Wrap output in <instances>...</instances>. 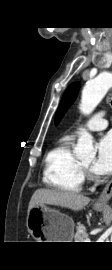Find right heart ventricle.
<instances>
[{"label":"right heart ventricle","instance_id":"1","mask_svg":"<svg viewBox=\"0 0 112 270\" xmlns=\"http://www.w3.org/2000/svg\"><path fill=\"white\" fill-rule=\"evenodd\" d=\"M72 137H63L46 155L43 181L55 190L78 193L82 189L84 176L80 161L71 149Z\"/></svg>","mask_w":112,"mask_h":270}]
</instances>
